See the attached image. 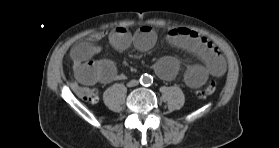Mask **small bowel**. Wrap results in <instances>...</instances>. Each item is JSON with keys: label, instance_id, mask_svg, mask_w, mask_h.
<instances>
[{"label": "small bowel", "instance_id": "1", "mask_svg": "<svg viewBox=\"0 0 279 148\" xmlns=\"http://www.w3.org/2000/svg\"><path fill=\"white\" fill-rule=\"evenodd\" d=\"M105 36V32L92 33L71 49L70 56L76 79L84 85L108 84L121 78L111 60H92L101 50L97 42ZM108 39L112 47L118 51L132 45L140 51H147L154 46L156 34L149 26H142L134 33L124 27H118L108 34ZM167 39L172 45L194 54L203 62L187 67L184 80L189 87L198 88L209 76L224 75L225 60L206 38L187 28H172ZM179 68V61L172 56H164L154 65L156 73L165 80L175 77Z\"/></svg>", "mask_w": 279, "mask_h": 148}]
</instances>
